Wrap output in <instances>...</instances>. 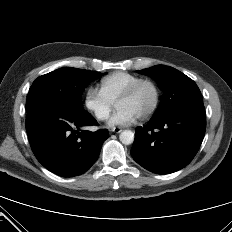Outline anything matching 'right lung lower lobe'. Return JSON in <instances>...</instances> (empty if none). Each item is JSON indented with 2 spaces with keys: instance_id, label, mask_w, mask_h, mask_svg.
Here are the masks:
<instances>
[{
  "instance_id": "right-lung-lower-lobe-1",
  "label": "right lung lower lobe",
  "mask_w": 232,
  "mask_h": 232,
  "mask_svg": "<svg viewBox=\"0 0 232 232\" xmlns=\"http://www.w3.org/2000/svg\"><path fill=\"white\" fill-rule=\"evenodd\" d=\"M97 121L86 111L36 107L27 111L26 131L35 157L63 177L86 172L97 160L107 129L83 130Z\"/></svg>"
}]
</instances>
